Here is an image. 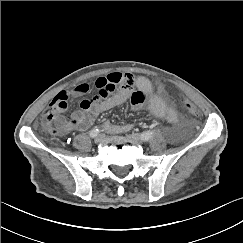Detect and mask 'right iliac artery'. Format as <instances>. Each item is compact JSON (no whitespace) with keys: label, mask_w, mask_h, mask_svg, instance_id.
<instances>
[{"label":"right iliac artery","mask_w":243,"mask_h":243,"mask_svg":"<svg viewBox=\"0 0 243 243\" xmlns=\"http://www.w3.org/2000/svg\"><path fill=\"white\" fill-rule=\"evenodd\" d=\"M100 132V129L98 127H94L90 132L89 135L90 137H96L98 133Z\"/></svg>","instance_id":"1"}]
</instances>
